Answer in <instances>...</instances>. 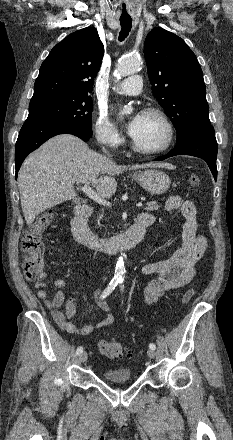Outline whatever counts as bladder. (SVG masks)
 <instances>
[{
  "label": "bladder",
  "mask_w": 233,
  "mask_h": 440,
  "mask_svg": "<svg viewBox=\"0 0 233 440\" xmlns=\"http://www.w3.org/2000/svg\"><path fill=\"white\" fill-rule=\"evenodd\" d=\"M104 378L113 384H121L131 379V373L126 368L111 369L104 372Z\"/></svg>",
  "instance_id": "obj_1"
}]
</instances>
